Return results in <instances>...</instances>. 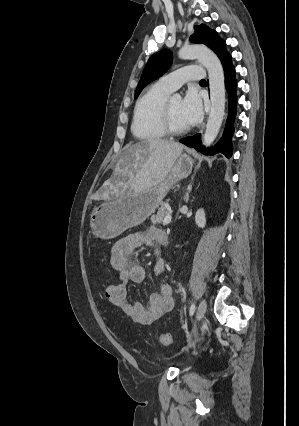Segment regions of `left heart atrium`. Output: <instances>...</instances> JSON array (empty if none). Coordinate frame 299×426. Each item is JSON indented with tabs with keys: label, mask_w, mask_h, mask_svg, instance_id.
<instances>
[{
	"label": "left heart atrium",
	"mask_w": 299,
	"mask_h": 426,
	"mask_svg": "<svg viewBox=\"0 0 299 426\" xmlns=\"http://www.w3.org/2000/svg\"><path fill=\"white\" fill-rule=\"evenodd\" d=\"M181 114L187 125H195L202 119V102L194 91H189L181 101Z\"/></svg>",
	"instance_id": "39dd6f15"
}]
</instances>
